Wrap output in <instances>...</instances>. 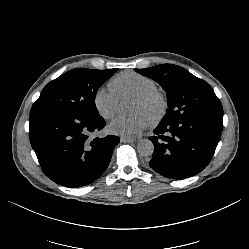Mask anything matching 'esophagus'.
<instances>
[{
  "instance_id": "34e87169",
  "label": "esophagus",
  "mask_w": 249,
  "mask_h": 249,
  "mask_svg": "<svg viewBox=\"0 0 249 249\" xmlns=\"http://www.w3.org/2000/svg\"><path fill=\"white\" fill-rule=\"evenodd\" d=\"M120 141H121L122 143H132V142L135 141V139H134V138H130V137H124V136H122V137L120 138Z\"/></svg>"
}]
</instances>
